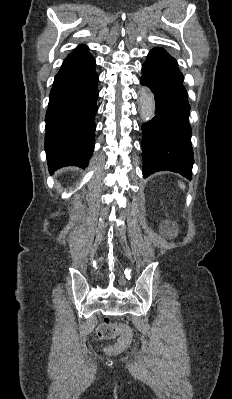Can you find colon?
<instances>
[{"mask_svg": "<svg viewBox=\"0 0 232 399\" xmlns=\"http://www.w3.org/2000/svg\"><path fill=\"white\" fill-rule=\"evenodd\" d=\"M100 330H96V337H101L102 341H114L117 333H120L121 326L125 323L121 321H100Z\"/></svg>", "mask_w": 232, "mask_h": 399, "instance_id": "colon-1", "label": "colon"}]
</instances>
